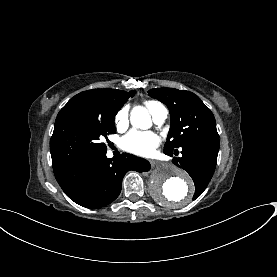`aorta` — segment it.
I'll return each mask as SVG.
<instances>
[{
	"mask_svg": "<svg viewBox=\"0 0 277 277\" xmlns=\"http://www.w3.org/2000/svg\"><path fill=\"white\" fill-rule=\"evenodd\" d=\"M130 119L140 129H148L152 124L147 109L141 106L133 108ZM149 188L153 198L165 205L187 204L194 193L188 174L172 163L158 164L150 177Z\"/></svg>",
	"mask_w": 277,
	"mask_h": 277,
	"instance_id": "aorta-1",
	"label": "aorta"
}]
</instances>
